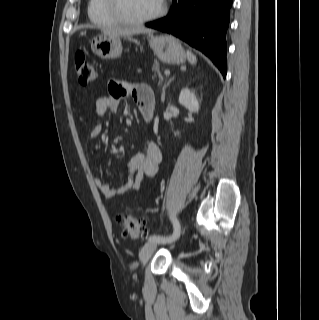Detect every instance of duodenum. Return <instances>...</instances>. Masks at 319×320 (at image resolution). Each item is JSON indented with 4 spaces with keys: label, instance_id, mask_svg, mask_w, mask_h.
<instances>
[{
    "label": "duodenum",
    "instance_id": "410a0bca",
    "mask_svg": "<svg viewBox=\"0 0 319 320\" xmlns=\"http://www.w3.org/2000/svg\"><path fill=\"white\" fill-rule=\"evenodd\" d=\"M142 116L145 118V120H150L152 118V112L149 111L148 109H144L141 111Z\"/></svg>",
    "mask_w": 319,
    "mask_h": 320
}]
</instances>
